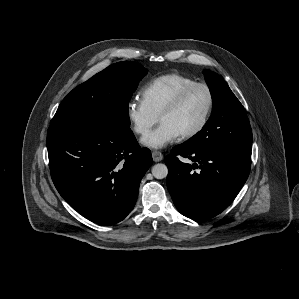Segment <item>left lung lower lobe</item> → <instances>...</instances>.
<instances>
[{
	"label": "left lung lower lobe",
	"instance_id": "1",
	"mask_svg": "<svg viewBox=\"0 0 299 299\" xmlns=\"http://www.w3.org/2000/svg\"><path fill=\"white\" fill-rule=\"evenodd\" d=\"M179 156L193 164L183 163ZM167 187L178 211L194 220L212 218L226 209L246 182L251 151H203L185 143L165 157Z\"/></svg>",
	"mask_w": 299,
	"mask_h": 299
}]
</instances>
